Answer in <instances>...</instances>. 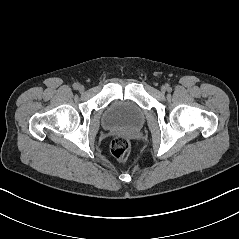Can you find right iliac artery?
Segmentation results:
<instances>
[{
    "label": "right iliac artery",
    "mask_w": 239,
    "mask_h": 239,
    "mask_svg": "<svg viewBox=\"0 0 239 239\" xmlns=\"http://www.w3.org/2000/svg\"><path fill=\"white\" fill-rule=\"evenodd\" d=\"M79 86H80L79 83H74L73 84V88L76 89V90L79 88Z\"/></svg>",
    "instance_id": "right-iliac-artery-1"
}]
</instances>
